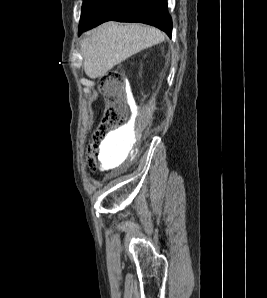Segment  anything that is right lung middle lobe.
I'll list each match as a JSON object with an SVG mask.
<instances>
[{
  "label": "right lung middle lobe",
  "mask_w": 267,
  "mask_h": 298,
  "mask_svg": "<svg viewBox=\"0 0 267 298\" xmlns=\"http://www.w3.org/2000/svg\"><path fill=\"white\" fill-rule=\"evenodd\" d=\"M105 0H84L81 10L80 23L88 21Z\"/></svg>",
  "instance_id": "right-lung-middle-lobe-1"
}]
</instances>
